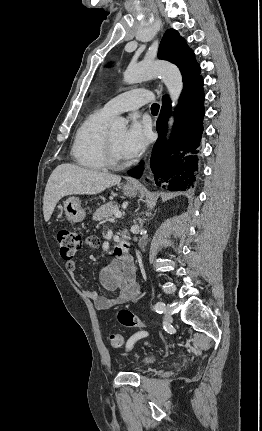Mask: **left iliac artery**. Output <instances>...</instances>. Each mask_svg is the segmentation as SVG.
Segmentation results:
<instances>
[{"instance_id":"44dca946","label":"left iliac artery","mask_w":262,"mask_h":431,"mask_svg":"<svg viewBox=\"0 0 262 431\" xmlns=\"http://www.w3.org/2000/svg\"><path fill=\"white\" fill-rule=\"evenodd\" d=\"M154 310L157 312V313H163L164 311H165V303H163V302H157L156 304H155V306H154ZM147 334V333H146ZM130 345H131V342L130 341H128V343H127V348L128 347H130Z\"/></svg>"}]
</instances>
